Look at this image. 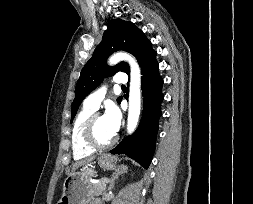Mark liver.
Here are the masks:
<instances>
[{"instance_id": "liver-1", "label": "liver", "mask_w": 253, "mask_h": 204, "mask_svg": "<svg viewBox=\"0 0 253 204\" xmlns=\"http://www.w3.org/2000/svg\"><path fill=\"white\" fill-rule=\"evenodd\" d=\"M94 159H95V156H92V157L86 158L84 160L78 161V162L73 164L72 170L74 171L80 166L90 164Z\"/></svg>"}]
</instances>
